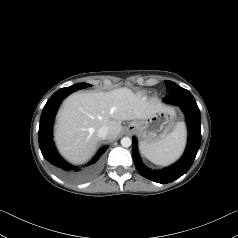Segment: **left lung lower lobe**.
Listing matches in <instances>:
<instances>
[{"instance_id": "0a47b994", "label": "left lung lower lobe", "mask_w": 238, "mask_h": 238, "mask_svg": "<svg viewBox=\"0 0 238 238\" xmlns=\"http://www.w3.org/2000/svg\"><path fill=\"white\" fill-rule=\"evenodd\" d=\"M163 100L166 103L180 106L186 116L188 143L182 158L168 168L160 171H152L141 162L137 149V140L135 137L132 138V156L139 173L149 180L162 184L178 179L189 170L201 144L200 110L192 94L180 87L170 92Z\"/></svg>"}]
</instances>
